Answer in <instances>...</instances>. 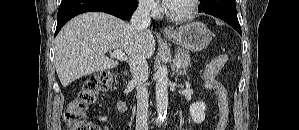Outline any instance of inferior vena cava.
<instances>
[{"label":"inferior vena cava","mask_w":299,"mask_h":130,"mask_svg":"<svg viewBox=\"0 0 299 130\" xmlns=\"http://www.w3.org/2000/svg\"><path fill=\"white\" fill-rule=\"evenodd\" d=\"M151 5L141 2L132 15L131 27L137 32L142 33L147 30L151 23ZM130 71L132 80L137 86V116L136 130H148V90L146 81L148 79V64L146 58L140 54H134L130 60Z\"/></svg>","instance_id":"inferior-vena-cava-1"}]
</instances>
